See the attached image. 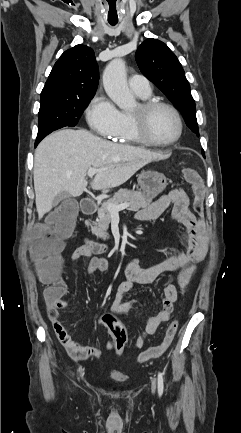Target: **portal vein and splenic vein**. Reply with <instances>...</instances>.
<instances>
[{
  "mask_svg": "<svg viewBox=\"0 0 241 433\" xmlns=\"http://www.w3.org/2000/svg\"><path fill=\"white\" fill-rule=\"evenodd\" d=\"M98 172V169L90 168L88 169L87 175L93 177ZM129 207L128 203H123L120 205L107 204V209L111 215H118L119 211L124 210Z\"/></svg>",
  "mask_w": 241,
  "mask_h": 433,
  "instance_id": "18ae733b",
  "label": "portal vein and splenic vein"
}]
</instances>
